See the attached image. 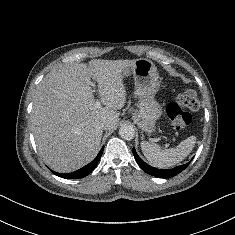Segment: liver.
<instances>
[{"label":"liver","instance_id":"liver-1","mask_svg":"<svg viewBox=\"0 0 235 235\" xmlns=\"http://www.w3.org/2000/svg\"><path fill=\"white\" fill-rule=\"evenodd\" d=\"M134 62L93 59L88 66L65 65L39 83L31 125L38 151L53 170L72 172L95 158L103 134L101 124L113 130L119 122L117 110L126 102L123 73ZM95 92L104 108H95Z\"/></svg>","mask_w":235,"mask_h":235}]
</instances>
